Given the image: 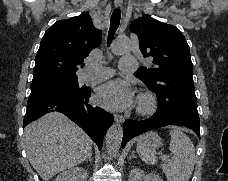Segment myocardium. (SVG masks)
<instances>
[{
	"instance_id": "f54148a6",
	"label": "myocardium",
	"mask_w": 228,
	"mask_h": 181,
	"mask_svg": "<svg viewBox=\"0 0 228 181\" xmlns=\"http://www.w3.org/2000/svg\"><path fill=\"white\" fill-rule=\"evenodd\" d=\"M157 107V100L150 93H143L138 97V111L142 115H151Z\"/></svg>"
}]
</instances>
